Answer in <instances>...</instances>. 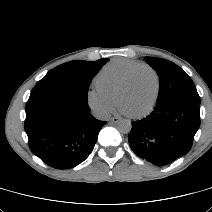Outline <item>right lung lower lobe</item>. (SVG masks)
<instances>
[{"label":"right lung lower lobe","mask_w":212,"mask_h":212,"mask_svg":"<svg viewBox=\"0 0 212 212\" xmlns=\"http://www.w3.org/2000/svg\"><path fill=\"white\" fill-rule=\"evenodd\" d=\"M25 111L31 152L56 169L83 162L106 124L92 116L85 98L65 91L31 92Z\"/></svg>","instance_id":"obj_1"}]
</instances>
